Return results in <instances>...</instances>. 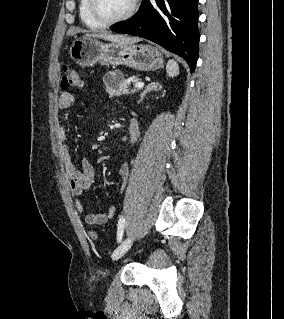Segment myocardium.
Wrapping results in <instances>:
<instances>
[{
  "label": "myocardium",
  "mask_w": 284,
  "mask_h": 319,
  "mask_svg": "<svg viewBox=\"0 0 284 319\" xmlns=\"http://www.w3.org/2000/svg\"><path fill=\"white\" fill-rule=\"evenodd\" d=\"M89 1V11L93 18L97 20L99 23L103 24L104 26H110L117 23L124 22L131 18L135 13L138 5L139 0H131L129 8L120 16L115 18H107L105 17L99 10L98 7V0H88Z\"/></svg>",
  "instance_id": "1"
}]
</instances>
